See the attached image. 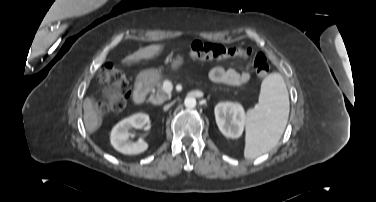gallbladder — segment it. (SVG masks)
Instances as JSON below:
<instances>
[{
    "mask_svg": "<svg viewBox=\"0 0 376 202\" xmlns=\"http://www.w3.org/2000/svg\"><path fill=\"white\" fill-rule=\"evenodd\" d=\"M115 94H116V91L113 90V89H111V88H105V89L103 90V95H104V97H106V98H112V97L115 96Z\"/></svg>",
    "mask_w": 376,
    "mask_h": 202,
    "instance_id": "1",
    "label": "gallbladder"
}]
</instances>
